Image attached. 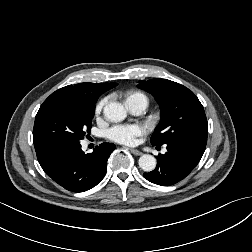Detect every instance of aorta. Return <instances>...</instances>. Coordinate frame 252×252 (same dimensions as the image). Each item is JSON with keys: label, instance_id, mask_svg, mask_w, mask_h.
<instances>
[{"label": "aorta", "instance_id": "obj_1", "mask_svg": "<svg viewBox=\"0 0 252 252\" xmlns=\"http://www.w3.org/2000/svg\"><path fill=\"white\" fill-rule=\"evenodd\" d=\"M104 116L108 121L121 122L126 118L127 112L121 103L110 102L104 107ZM138 163L146 172L153 171L157 164L155 157L149 154L142 155Z\"/></svg>", "mask_w": 252, "mask_h": 252}]
</instances>
